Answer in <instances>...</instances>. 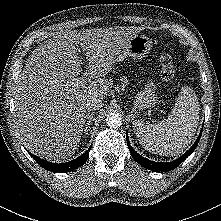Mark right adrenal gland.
Returning a JSON list of instances; mask_svg holds the SVG:
<instances>
[{"mask_svg":"<svg viewBox=\"0 0 221 221\" xmlns=\"http://www.w3.org/2000/svg\"><path fill=\"white\" fill-rule=\"evenodd\" d=\"M93 115L94 113H91V114H88V120L85 124V128H84V131H85V134L87 135L88 134V131L90 130V125H91V122H92V118H93Z\"/></svg>","mask_w":221,"mask_h":221,"instance_id":"obj_1","label":"right adrenal gland"}]
</instances>
